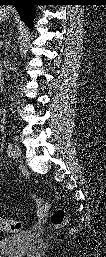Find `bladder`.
I'll list each match as a JSON object with an SVG mask.
<instances>
[{
  "instance_id": "31cf9c89",
  "label": "bladder",
  "mask_w": 106,
  "mask_h": 257,
  "mask_svg": "<svg viewBox=\"0 0 106 257\" xmlns=\"http://www.w3.org/2000/svg\"><path fill=\"white\" fill-rule=\"evenodd\" d=\"M33 242V233L31 231H22L2 238L0 252L6 257H22L29 251Z\"/></svg>"
}]
</instances>
